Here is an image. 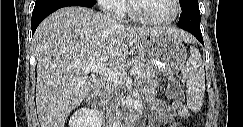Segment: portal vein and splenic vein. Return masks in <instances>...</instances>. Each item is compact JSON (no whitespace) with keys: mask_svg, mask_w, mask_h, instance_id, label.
I'll return each instance as SVG.
<instances>
[{"mask_svg":"<svg viewBox=\"0 0 243 127\" xmlns=\"http://www.w3.org/2000/svg\"><path fill=\"white\" fill-rule=\"evenodd\" d=\"M80 67L85 73L95 72L97 74L106 76L111 79H118L119 77H122L124 74L121 68H106L94 62L81 64ZM139 74H140V70L138 68H133L130 71L131 76L139 75Z\"/></svg>","mask_w":243,"mask_h":127,"instance_id":"18ae733b","label":"portal vein and splenic vein"}]
</instances>
